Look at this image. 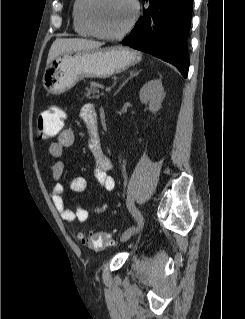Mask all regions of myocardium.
Wrapping results in <instances>:
<instances>
[{
  "mask_svg": "<svg viewBox=\"0 0 245 319\" xmlns=\"http://www.w3.org/2000/svg\"><path fill=\"white\" fill-rule=\"evenodd\" d=\"M133 8V15L129 23L119 32L117 33H106L102 31L98 25L96 24L94 18H93V8L98 2V0H86V3L84 5V18L89 26V28L93 31V33L102 39L107 40H117L123 38L125 35H127L135 26L139 16H140V6L137 0H128Z\"/></svg>",
  "mask_w": 245,
  "mask_h": 319,
  "instance_id": "obj_1",
  "label": "myocardium"
}]
</instances>
